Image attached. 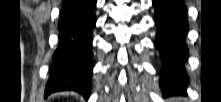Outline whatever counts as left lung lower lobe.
<instances>
[{"instance_id":"obj_1","label":"left lung lower lobe","mask_w":221,"mask_h":102,"mask_svg":"<svg viewBox=\"0 0 221 102\" xmlns=\"http://www.w3.org/2000/svg\"><path fill=\"white\" fill-rule=\"evenodd\" d=\"M153 6L157 26L155 47L163 67L160 86L166 94L185 92L188 21L184 5L181 0H153Z\"/></svg>"}]
</instances>
